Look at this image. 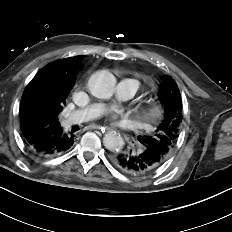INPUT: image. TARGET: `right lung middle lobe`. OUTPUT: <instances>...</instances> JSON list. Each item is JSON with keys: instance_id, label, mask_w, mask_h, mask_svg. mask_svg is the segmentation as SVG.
<instances>
[{"instance_id": "1", "label": "right lung middle lobe", "mask_w": 232, "mask_h": 232, "mask_svg": "<svg viewBox=\"0 0 232 232\" xmlns=\"http://www.w3.org/2000/svg\"><path fill=\"white\" fill-rule=\"evenodd\" d=\"M58 113H59V112L57 111V112H56V117L58 116Z\"/></svg>"}]
</instances>
